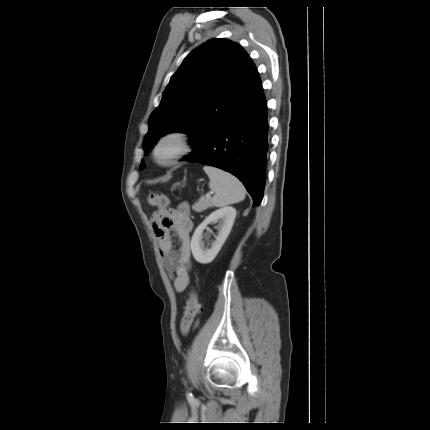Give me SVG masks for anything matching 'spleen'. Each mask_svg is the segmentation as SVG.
I'll use <instances>...</instances> for the list:
<instances>
[{"instance_id":"obj_1","label":"spleen","mask_w":430,"mask_h":430,"mask_svg":"<svg viewBox=\"0 0 430 430\" xmlns=\"http://www.w3.org/2000/svg\"><path fill=\"white\" fill-rule=\"evenodd\" d=\"M203 169L210 179V189L215 192L211 198L213 206L223 207L244 200L246 190L236 176L210 165H205Z\"/></svg>"}]
</instances>
